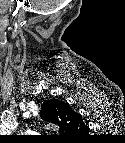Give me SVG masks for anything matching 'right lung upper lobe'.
Here are the masks:
<instances>
[{
    "mask_svg": "<svg viewBox=\"0 0 125 143\" xmlns=\"http://www.w3.org/2000/svg\"><path fill=\"white\" fill-rule=\"evenodd\" d=\"M42 118L59 126L63 135L74 137L88 133L89 128L82 121V116L74 112L68 103L50 99L42 104Z\"/></svg>",
    "mask_w": 125,
    "mask_h": 143,
    "instance_id": "obj_1",
    "label": "right lung upper lobe"
}]
</instances>
